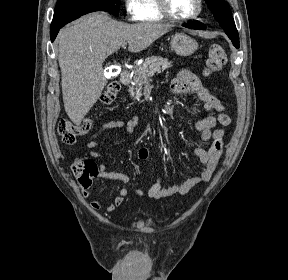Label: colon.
Segmentation results:
<instances>
[{"label": "colon", "mask_w": 288, "mask_h": 280, "mask_svg": "<svg viewBox=\"0 0 288 280\" xmlns=\"http://www.w3.org/2000/svg\"><path fill=\"white\" fill-rule=\"evenodd\" d=\"M226 63V53L219 44H211L208 49L205 74L212 75L222 69ZM120 86L117 82L110 83L101 95V102L105 105L112 104L119 93ZM91 128V121L85 119L80 124H74L63 119L58 124V134L65 144H73L76 138L85 135ZM72 172L82 188H89L93 178L98 173L97 164L90 159H75L71 165Z\"/></svg>", "instance_id": "colon-1"}]
</instances>
